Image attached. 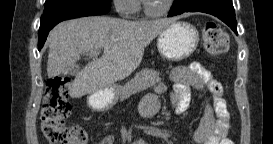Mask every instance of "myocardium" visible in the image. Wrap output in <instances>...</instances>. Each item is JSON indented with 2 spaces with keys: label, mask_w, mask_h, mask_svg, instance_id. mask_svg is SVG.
Here are the masks:
<instances>
[{
  "label": "myocardium",
  "mask_w": 273,
  "mask_h": 144,
  "mask_svg": "<svg viewBox=\"0 0 273 144\" xmlns=\"http://www.w3.org/2000/svg\"><path fill=\"white\" fill-rule=\"evenodd\" d=\"M175 0H167L165 4L158 10L151 9L146 2H143V10L148 15L159 16L170 11Z\"/></svg>",
  "instance_id": "f54148a6"
}]
</instances>
